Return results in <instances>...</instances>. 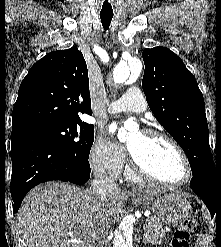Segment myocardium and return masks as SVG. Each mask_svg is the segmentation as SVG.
<instances>
[{
	"label": "myocardium",
	"mask_w": 221,
	"mask_h": 247,
	"mask_svg": "<svg viewBox=\"0 0 221 247\" xmlns=\"http://www.w3.org/2000/svg\"><path fill=\"white\" fill-rule=\"evenodd\" d=\"M140 132L152 140H161V141L167 142L168 144L173 146L182 158V161H183L184 167H185V171H186V177L181 182L164 181V180L158 178L154 173H152L146 167V165L136 155H134L130 151V149L128 148L130 168L133 170V172L142 179H145L147 181H150V182H153V183H156L159 185H163V186L182 187V186L188 185L192 180L193 170H192L190 160H189L186 152L184 151V149L181 147V145L173 137H171L167 133L160 131V130H157V129L146 128Z\"/></svg>",
	"instance_id": "obj_1"
}]
</instances>
